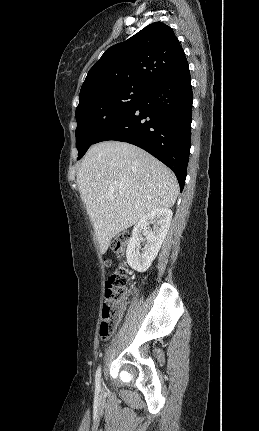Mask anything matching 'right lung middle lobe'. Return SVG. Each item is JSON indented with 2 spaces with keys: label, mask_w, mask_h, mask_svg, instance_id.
Returning a JSON list of instances; mask_svg holds the SVG:
<instances>
[{
  "label": "right lung middle lobe",
  "mask_w": 259,
  "mask_h": 431,
  "mask_svg": "<svg viewBox=\"0 0 259 431\" xmlns=\"http://www.w3.org/2000/svg\"><path fill=\"white\" fill-rule=\"evenodd\" d=\"M147 89L121 87L92 95L76 109L78 160L111 125L127 113Z\"/></svg>",
  "instance_id": "right-lung-middle-lobe-1"
}]
</instances>
